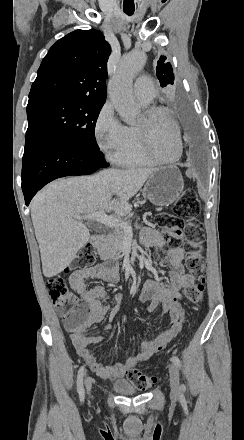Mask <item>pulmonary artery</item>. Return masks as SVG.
Instances as JSON below:
<instances>
[{
    "label": "pulmonary artery",
    "mask_w": 244,
    "mask_h": 440,
    "mask_svg": "<svg viewBox=\"0 0 244 440\" xmlns=\"http://www.w3.org/2000/svg\"><path fill=\"white\" fill-rule=\"evenodd\" d=\"M135 83V96L142 104H149L152 99L157 98V91L154 90V83L147 82L146 75H138Z\"/></svg>",
    "instance_id": "e3ab8cb5"
}]
</instances>
